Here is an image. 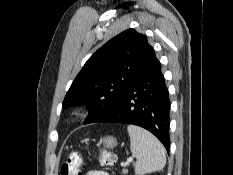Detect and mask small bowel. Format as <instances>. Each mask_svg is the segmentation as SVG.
I'll use <instances>...</instances> for the list:
<instances>
[{
    "label": "small bowel",
    "instance_id": "c3829d8e",
    "mask_svg": "<svg viewBox=\"0 0 233 175\" xmlns=\"http://www.w3.org/2000/svg\"><path fill=\"white\" fill-rule=\"evenodd\" d=\"M86 175H110V174L100 170H91Z\"/></svg>",
    "mask_w": 233,
    "mask_h": 175
}]
</instances>
